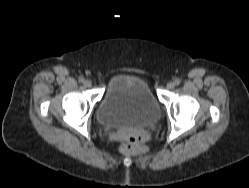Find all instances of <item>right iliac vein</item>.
I'll list each match as a JSON object with an SVG mask.
<instances>
[{
	"label": "right iliac vein",
	"instance_id": "obj_1",
	"mask_svg": "<svg viewBox=\"0 0 249 188\" xmlns=\"http://www.w3.org/2000/svg\"><path fill=\"white\" fill-rule=\"evenodd\" d=\"M84 85H85V87H91L92 83H91L90 80H86V81L84 82Z\"/></svg>",
	"mask_w": 249,
	"mask_h": 188
}]
</instances>
